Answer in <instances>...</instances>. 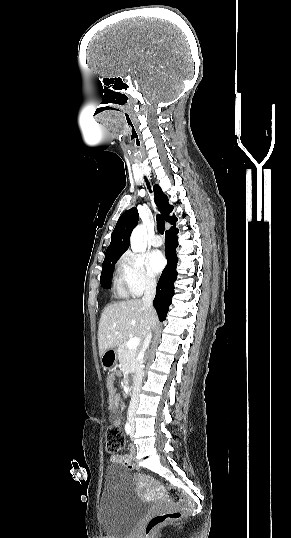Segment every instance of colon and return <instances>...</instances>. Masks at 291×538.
Listing matches in <instances>:
<instances>
[{
  "mask_svg": "<svg viewBox=\"0 0 291 538\" xmlns=\"http://www.w3.org/2000/svg\"><path fill=\"white\" fill-rule=\"evenodd\" d=\"M125 444V437L121 429L112 425L106 431V450L110 454H117ZM125 465L129 469H133L132 461H126ZM169 498L178 504V508L170 512H160L151 516L146 522L143 529V538H151L156 531L166 522L179 520L190 510L191 502L185 498L183 493L176 488H169Z\"/></svg>",
  "mask_w": 291,
  "mask_h": 538,
  "instance_id": "colon-1",
  "label": "colon"
}]
</instances>
